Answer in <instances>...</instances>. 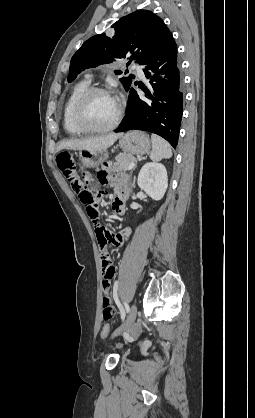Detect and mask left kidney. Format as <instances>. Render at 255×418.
I'll return each mask as SVG.
<instances>
[{
	"mask_svg": "<svg viewBox=\"0 0 255 418\" xmlns=\"http://www.w3.org/2000/svg\"><path fill=\"white\" fill-rule=\"evenodd\" d=\"M137 183L152 199L161 200L168 187L165 166L157 162L146 163L139 172Z\"/></svg>",
	"mask_w": 255,
	"mask_h": 418,
	"instance_id": "obj_1",
	"label": "left kidney"
}]
</instances>
